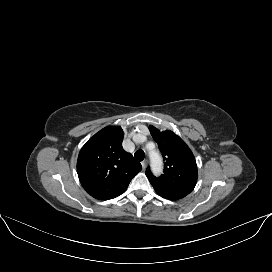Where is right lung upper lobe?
<instances>
[{
  "mask_svg": "<svg viewBox=\"0 0 272 272\" xmlns=\"http://www.w3.org/2000/svg\"><path fill=\"white\" fill-rule=\"evenodd\" d=\"M124 132L108 126L91 137L80 150L77 172L88 194L99 200L121 195L142 166L123 150Z\"/></svg>",
  "mask_w": 272,
  "mask_h": 272,
  "instance_id": "right-lung-upper-lobe-1",
  "label": "right lung upper lobe"
}]
</instances>
